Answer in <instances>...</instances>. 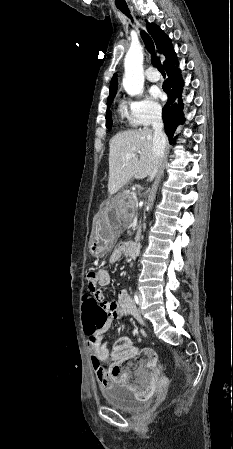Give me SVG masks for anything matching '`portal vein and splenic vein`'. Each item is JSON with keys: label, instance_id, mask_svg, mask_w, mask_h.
Wrapping results in <instances>:
<instances>
[{"label": "portal vein and splenic vein", "instance_id": "portal-vein-and-splenic-vein-1", "mask_svg": "<svg viewBox=\"0 0 233 449\" xmlns=\"http://www.w3.org/2000/svg\"><path fill=\"white\" fill-rule=\"evenodd\" d=\"M132 156H133L132 154H127L126 157H125V159H126V160L131 159ZM135 201L138 202L137 197H135Z\"/></svg>", "mask_w": 233, "mask_h": 449}]
</instances>
